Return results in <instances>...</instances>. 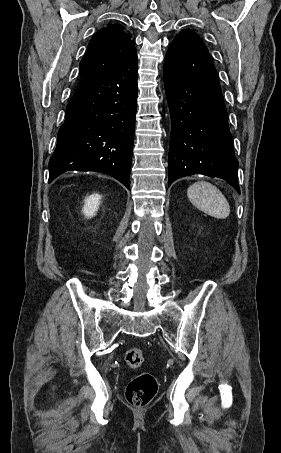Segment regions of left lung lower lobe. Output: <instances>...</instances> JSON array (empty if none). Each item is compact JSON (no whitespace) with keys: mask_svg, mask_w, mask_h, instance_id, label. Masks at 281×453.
Here are the masks:
<instances>
[{"mask_svg":"<svg viewBox=\"0 0 281 453\" xmlns=\"http://www.w3.org/2000/svg\"><path fill=\"white\" fill-rule=\"evenodd\" d=\"M164 85L172 122L168 185L200 173L222 178L240 193L238 160L221 87L210 54L197 35H179L170 44Z\"/></svg>","mask_w":281,"mask_h":453,"instance_id":"0a47b994","label":"left lung lower lobe"}]
</instances>
